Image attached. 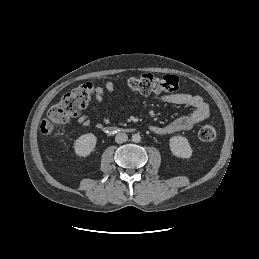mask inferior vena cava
<instances>
[{"label":"inferior vena cava","instance_id":"obj_1","mask_svg":"<svg viewBox=\"0 0 259 259\" xmlns=\"http://www.w3.org/2000/svg\"><path fill=\"white\" fill-rule=\"evenodd\" d=\"M128 140V136L126 133H118L116 136H115V141L116 143L118 144H121V143H124Z\"/></svg>","mask_w":259,"mask_h":259}]
</instances>
